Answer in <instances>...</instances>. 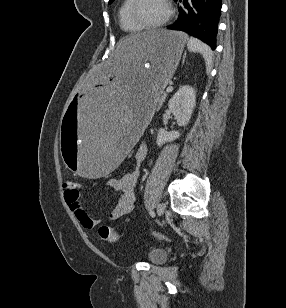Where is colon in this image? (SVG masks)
Wrapping results in <instances>:
<instances>
[{
  "label": "colon",
  "mask_w": 286,
  "mask_h": 308,
  "mask_svg": "<svg viewBox=\"0 0 286 308\" xmlns=\"http://www.w3.org/2000/svg\"><path fill=\"white\" fill-rule=\"evenodd\" d=\"M64 187H65V190L67 191L76 192L78 191L79 183L77 181L70 180V181L65 182ZM99 235L103 241L109 242V243H115L119 239L117 231L114 228L108 227V226L100 227Z\"/></svg>",
  "instance_id": "1"
}]
</instances>
